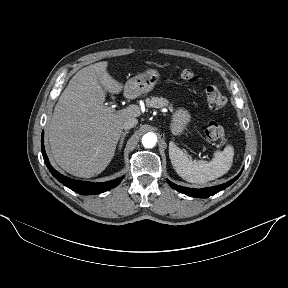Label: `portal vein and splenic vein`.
Returning <instances> with one entry per match:
<instances>
[{
  "instance_id": "obj_1",
  "label": "portal vein and splenic vein",
  "mask_w": 288,
  "mask_h": 288,
  "mask_svg": "<svg viewBox=\"0 0 288 288\" xmlns=\"http://www.w3.org/2000/svg\"><path fill=\"white\" fill-rule=\"evenodd\" d=\"M103 108H104V110H105L106 112H109V113L115 111V109H114L113 107H107V106H104Z\"/></svg>"
}]
</instances>
